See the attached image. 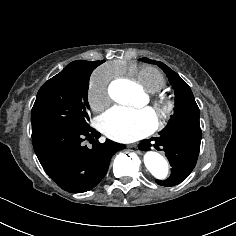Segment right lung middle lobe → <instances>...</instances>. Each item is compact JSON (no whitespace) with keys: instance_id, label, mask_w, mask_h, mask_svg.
<instances>
[{"instance_id":"obj_1","label":"right lung middle lobe","mask_w":236,"mask_h":236,"mask_svg":"<svg viewBox=\"0 0 236 236\" xmlns=\"http://www.w3.org/2000/svg\"><path fill=\"white\" fill-rule=\"evenodd\" d=\"M94 68H64L38 91L31 111L32 133L55 127L83 129L89 124V78Z\"/></svg>"}]
</instances>
